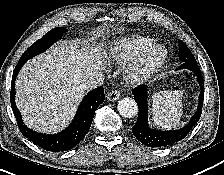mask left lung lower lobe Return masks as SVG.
Returning a JSON list of instances; mask_svg holds the SVG:
<instances>
[{"mask_svg":"<svg viewBox=\"0 0 224 175\" xmlns=\"http://www.w3.org/2000/svg\"><path fill=\"white\" fill-rule=\"evenodd\" d=\"M180 69H189L196 74L197 81L201 87V93L199 95V104L196 114L186 126L179 130L162 131L150 128L148 125V89L145 85H141L132 91L139 108L138 118L133 126L132 133L138 141L146 146L165 147L176 143L185 138L200 119L204 99V80L201 71L197 63H182V65L177 68V70Z\"/></svg>","mask_w":224,"mask_h":175,"instance_id":"left-lung-lower-lobe-1","label":"left lung lower lobe"}]
</instances>
